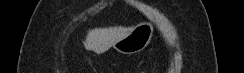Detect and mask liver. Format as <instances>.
Returning <instances> with one entry per match:
<instances>
[{"mask_svg":"<svg viewBox=\"0 0 244 73\" xmlns=\"http://www.w3.org/2000/svg\"><path fill=\"white\" fill-rule=\"evenodd\" d=\"M133 27H110V28H96L90 30L87 34L86 40L83 42L84 47L88 51H94L97 54L104 53L115 42L127 36Z\"/></svg>","mask_w":244,"mask_h":73,"instance_id":"1","label":"liver"}]
</instances>
